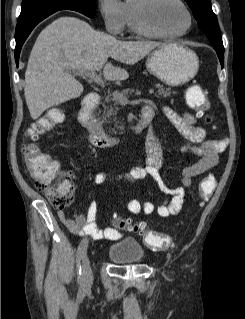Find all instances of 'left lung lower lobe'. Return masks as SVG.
I'll use <instances>...</instances> for the list:
<instances>
[{"label": "left lung lower lobe", "instance_id": "1", "mask_svg": "<svg viewBox=\"0 0 245 319\" xmlns=\"http://www.w3.org/2000/svg\"><path fill=\"white\" fill-rule=\"evenodd\" d=\"M216 52H217V55L219 57V60H220V63H221V66L223 67L224 65V51L221 52L219 49L215 48Z\"/></svg>", "mask_w": 245, "mask_h": 319}]
</instances>
